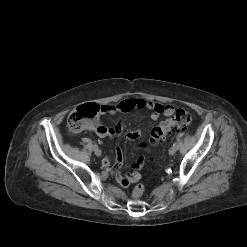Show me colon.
I'll return each instance as SVG.
<instances>
[{
    "label": "colon",
    "instance_id": "obj_1",
    "mask_svg": "<svg viewBox=\"0 0 247 247\" xmlns=\"http://www.w3.org/2000/svg\"><path fill=\"white\" fill-rule=\"evenodd\" d=\"M102 108L97 104H84L74 109L68 116L67 124L70 132L79 133L91 126H94ZM192 122V116L188 111L178 109L174 115L162 122L151 131L150 141H158L170 136L173 133L185 130ZM144 186L138 184L133 190L134 197H140L144 192Z\"/></svg>",
    "mask_w": 247,
    "mask_h": 247
}]
</instances>
